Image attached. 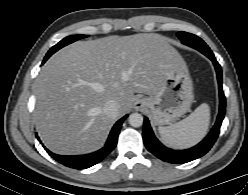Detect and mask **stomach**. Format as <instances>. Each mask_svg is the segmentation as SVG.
<instances>
[{"label":"stomach","instance_id":"0dacf381","mask_svg":"<svg viewBox=\"0 0 248 195\" xmlns=\"http://www.w3.org/2000/svg\"><path fill=\"white\" fill-rule=\"evenodd\" d=\"M156 125H167L190 110L194 101L193 85L185 63L169 71L159 90L143 99Z\"/></svg>","mask_w":248,"mask_h":195}]
</instances>
